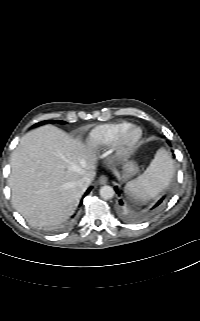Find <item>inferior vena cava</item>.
<instances>
[{
	"mask_svg": "<svg viewBox=\"0 0 200 321\" xmlns=\"http://www.w3.org/2000/svg\"><path fill=\"white\" fill-rule=\"evenodd\" d=\"M91 180L87 177H82L76 182V186L82 190H86Z\"/></svg>",
	"mask_w": 200,
	"mask_h": 321,
	"instance_id": "obj_1",
	"label": "inferior vena cava"
}]
</instances>
